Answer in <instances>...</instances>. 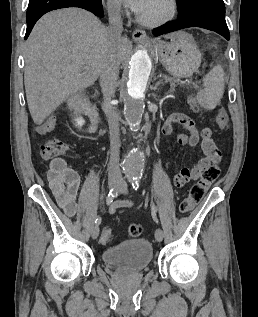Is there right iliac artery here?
I'll return each mask as SVG.
<instances>
[{"label":"right iliac artery","instance_id":"82829eb1","mask_svg":"<svg viewBox=\"0 0 258 317\" xmlns=\"http://www.w3.org/2000/svg\"><path fill=\"white\" fill-rule=\"evenodd\" d=\"M117 196H118V190L114 188L111 189L109 193L107 194L106 204L110 205ZM100 223H101V218L99 217L95 220V224L99 225Z\"/></svg>","mask_w":258,"mask_h":317}]
</instances>
